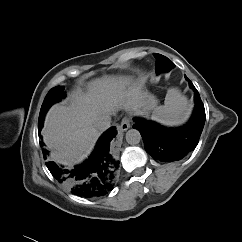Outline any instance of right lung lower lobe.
Masks as SVG:
<instances>
[{"instance_id":"obj_1","label":"right lung lower lobe","mask_w":242,"mask_h":242,"mask_svg":"<svg viewBox=\"0 0 242 242\" xmlns=\"http://www.w3.org/2000/svg\"><path fill=\"white\" fill-rule=\"evenodd\" d=\"M42 126L43 121L39 124V131ZM115 136L116 130L113 126L101 136L92 155L81 165L65 167L48 161L46 166L52 176L69 188L72 194L85 198L102 196L112 189L111 182L118 164L109 153L110 141ZM40 144L44 145L42 141ZM43 154L47 155L48 151L43 149Z\"/></svg>"}]
</instances>
